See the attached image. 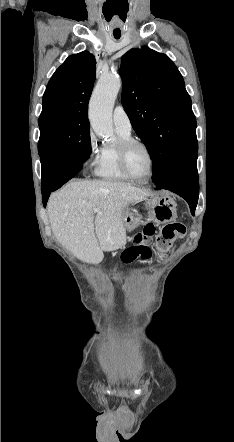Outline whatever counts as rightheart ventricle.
Returning <instances> with one entry per match:
<instances>
[{
	"instance_id": "1",
	"label": "right heart ventricle",
	"mask_w": 234,
	"mask_h": 442,
	"mask_svg": "<svg viewBox=\"0 0 234 442\" xmlns=\"http://www.w3.org/2000/svg\"><path fill=\"white\" fill-rule=\"evenodd\" d=\"M118 141L114 145H105L100 151V155L97 160L95 173L98 177L115 182H125L129 179L123 174L120 169L118 161V146L119 144L131 138L130 133H124L116 130Z\"/></svg>"
}]
</instances>
